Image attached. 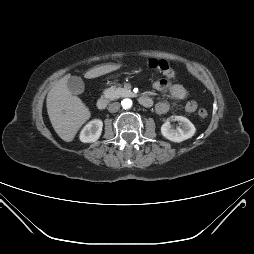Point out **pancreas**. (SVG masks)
Listing matches in <instances>:
<instances>
[{
	"instance_id": "pancreas-1",
	"label": "pancreas",
	"mask_w": 254,
	"mask_h": 254,
	"mask_svg": "<svg viewBox=\"0 0 254 254\" xmlns=\"http://www.w3.org/2000/svg\"><path fill=\"white\" fill-rule=\"evenodd\" d=\"M103 94H104L105 98H107L109 100H114V99H118L122 96L129 95V92L125 88L112 86L110 88L105 89Z\"/></svg>"
}]
</instances>
